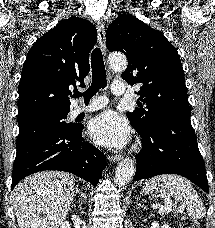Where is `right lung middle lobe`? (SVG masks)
<instances>
[{
  "instance_id": "1",
  "label": "right lung middle lobe",
  "mask_w": 215,
  "mask_h": 228,
  "mask_svg": "<svg viewBox=\"0 0 215 228\" xmlns=\"http://www.w3.org/2000/svg\"><path fill=\"white\" fill-rule=\"evenodd\" d=\"M67 114L68 112L44 115L18 123L19 135L17 137V142L47 131H75L78 126L72 123H66L65 120L67 119Z\"/></svg>"
}]
</instances>
